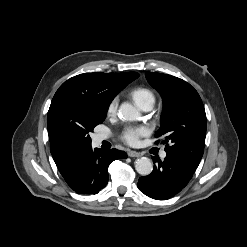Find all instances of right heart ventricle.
<instances>
[{"label": "right heart ventricle", "instance_id": "obj_1", "mask_svg": "<svg viewBox=\"0 0 247 247\" xmlns=\"http://www.w3.org/2000/svg\"><path fill=\"white\" fill-rule=\"evenodd\" d=\"M130 96L139 108L150 105L153 106L155 102L154 93L146 87H135L130 91Z\"/></svg>", "mask_w": 247, "mask_h": 247}]
</instances>
